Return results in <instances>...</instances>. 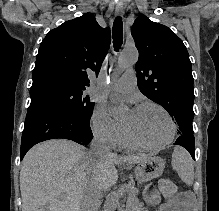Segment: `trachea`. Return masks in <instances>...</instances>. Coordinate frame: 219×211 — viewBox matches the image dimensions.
<instances>
[{
	"mask_svg": "<svg viewBox=\"0 0 219 211\" xmlns=\"http://www.w3.org/2000/svg\"><path fill=\"white\" fill-rule=\"evenodd\" d=\"M112 33L114 49L118 51L123 42V22L120 16H117L114 20Z\"/></svg>",
	"mask_w": 219,
	"mask_h": 211,
	"instance_id": "obj_1",
	"label": "trachea"
}]
</instances>
